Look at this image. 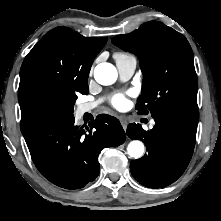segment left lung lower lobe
Instances as JSON below:
<instances>
[{"mask_svg":"<svg viewBox=\"0 0 221 221\" xmlns=\"http://www.w3.org/2000/svg\"><path fill=\"white\" fill-rule=\"evenodd\" d=\"M155 126L145 131L140 124H129L127 135L146 143L148 153L133 160V177L149 188L165 187L175 182L187 168L195 146L198 121L154 112Z\"/></svg>","mask_w":221,"mask_h":221,"instance_id":"0a47b994","label":"left lung lower lobe"}]
</instances>
